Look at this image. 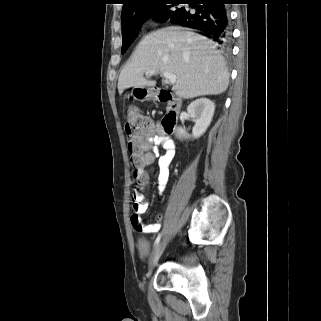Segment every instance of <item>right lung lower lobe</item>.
<instances>
[{
    "mask_svg": "<svg viewBox=\"0 0 321 321\" xmlns=\"http://www.w3.org/2000/svg\"><path fill=\"white\" fill-rule=\"evenodd\" d=\"M229 0H188L189 7L174 12L168 22L198 29L221 46L230 40L229 16L226 4ZM190 8L194 9V12Z\"/></svg>",
    "mask_w": 321,
    "mask_h": 321,
    "instance_id": "98d812e1",
    "label": "right lung lower lobe"
}]
</instances>
